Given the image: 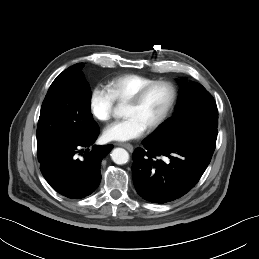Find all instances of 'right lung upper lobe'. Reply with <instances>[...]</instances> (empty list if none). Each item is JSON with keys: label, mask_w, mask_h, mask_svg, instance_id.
Segmentation results:
<instances>
[{"label": "right lung upper lobe", "mask_w": 259, "mask_h": 259, "mask_svg": "<svg viewBox=\"0 0 259 259\" xmlns=\"http://www.w3.org/2000/svg\"><path fill=\"white\" fill-rule=\"evenodd\" d=\"M68 71H69V70H67V69H66V70H65V71H63L62 73H67Z\"/></svg>", "instance_id": "obj_1"}]
</instances>
